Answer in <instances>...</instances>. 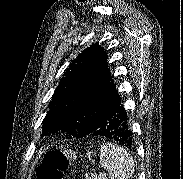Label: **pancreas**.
<instances>
[{"mask_svg":"<svg viewBox=\"0 0 183 179\" xmlns=\"http://www.w3.org/2000/svg\"><path fill=\"white\" fill-rule=\"evenodd\" d=\"M85 179H107V178L104 175L97 176V175H93V174H87L85 176Z\"/></svg>","mask_w":183,"mask_h":179,"instance_id":"1","label":"pancreas"}]
</instances>
